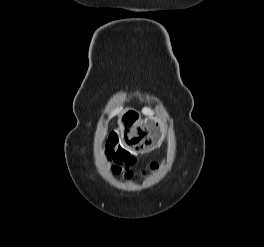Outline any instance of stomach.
Masks as SVG:
<instances>
[{"label":"stomach","instance_id":"stomach-1","mask_svg":"<svg viewBox=\"0 0 264 247\" xmlns=\"http://www.w3.org/2000/svg\"><path fill=\"white\" fill-rule=\"evenodd\" d=\"M119 125L123 143L139 153L153 150L163 139L162 121L155 117L136 120L131 113L125 112L119 117Z\"/></svg>","mask_w":264,"mask_h":247}]
</instances>
